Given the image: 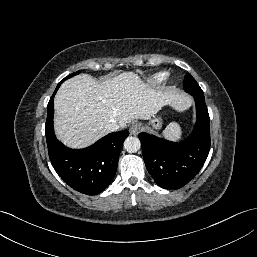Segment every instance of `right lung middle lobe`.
Instances as JSON below:
<instances>
[{
	"label": "right lung middle lobe",
	"mask_w": 257,
	"mask_h": 257,
	"mask_svg": "<svg viewBox=\"0 0 257 257\" xmlns=\"http://www.w3.org/2000/svg\"><path fill=\"white\" fill-rule=\"evenodd\" d=\"M80 72H81V71H77V72H75V73H73V74H71V75L65 77L58 85H60L64 80H66V79H68V78H70V77H72V76H75V75L79 74Z\"/></svg>",
	"instance_id": "1"
}]
</instances>
